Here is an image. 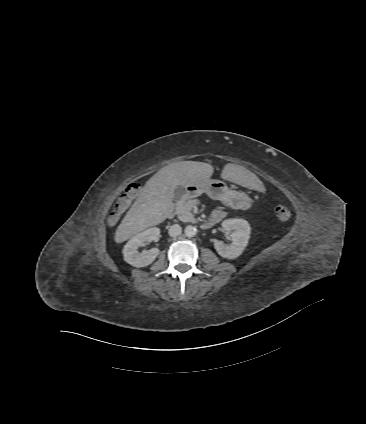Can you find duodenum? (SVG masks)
<instances>
[{"label": "duodenum", "instance_id": "1", "mask_svg": "<svg viewBox=\"0 0 366 424\" xmlns=\"http://www.w3.org/2000/svg\"><path fill=\"white\" fill-rule=\"evenodd\" d=\"M170 214L172 215L173 212H171ZM215 224H216V221L214 219H209V220L203 222L201 227L203 229H209V228L213 227Z\"/></svg>", "mask_w": 366, "mask_h": 424}]
</instances>
